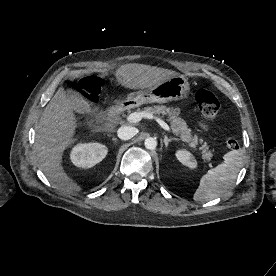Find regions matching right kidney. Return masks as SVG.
Masks as SVG:
<instances>
[{
    "label": "right kidney",
    "mask_w": 276,
    "mask_h": 276,
    "mask_svg": "<svg viewBox=\"0 0 276 276\" xmlns=\"http://www.w3.org/2000/svg\"><path fill=\"white\" fill-rule=\"evenodd\" d=\"M108 153L105 145L100 143H80L71 151V161L77 167L91 168L101 162Z\"/></svg>",
    "instance_id": "right-kidney-1"
}]
</instances>
